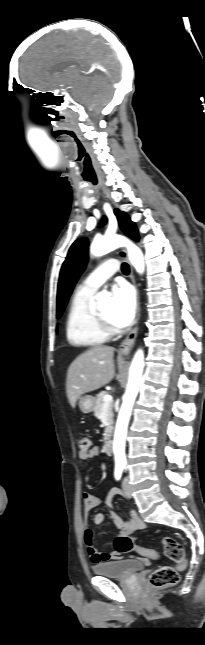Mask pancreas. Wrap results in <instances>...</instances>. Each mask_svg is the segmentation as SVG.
Wrapping results in <instances>:
<instances>
[{"instance_id":"pancreas-1","label":"pancreas","mask_w":205,"mask_h":645,"mask_svg":"<svg viewBox=\"0 0 205 645\" xmlns=\"http://www.w3.org/2000/svg\"><path fill=\"white\" fill-rule=\"evenodd\" d=\"M107 394V392L102 391L100 392L97 397H96V404L94 408V414L98 419H101V414L103 410V406L105 404L104 402V396ZM107 426L105 427V433L103 434L104 440H108L111 436L112 433V425H113V404L109 403L107 407Z\"/></svg>"}]
</instances>
